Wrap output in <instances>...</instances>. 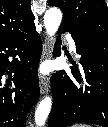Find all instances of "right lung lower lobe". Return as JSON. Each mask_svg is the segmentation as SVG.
I'll use <instances>...</instances> for the list:
<instances>
[{
  "mask_svg": "<svg viewBox=\"0 0 108 127\" xmlns=\"http://www.w3.org/2000/svg\"><path fill=\"white\" fill-rule=\"evenodd\" d=\"M41 54L35 27L0 39V126L22 127L26 114L38 101Z\"/></svg>",
  "mask_w": 108,
  "mask_h": 127,
  "instance_id": "1",
  "label": "right lung lower lobe"
}]
</instances>
